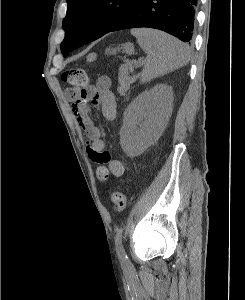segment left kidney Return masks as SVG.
<instances>
[{
  "mask_svg": "<svg viewBox=\"0 0 245 300\" xmlns=\"http://www.w3.org/2000/svg\"><path fill=\"white\" fill-rule=\"evenodd\" d=\"M171 107L172 90L167 85H157L134 99L124 112L122 149L129 156L142 153L161 134Z\"/></svg>",
  "mask_w": 245,
  "mask_h": 300,
  "instance_id": "obj_1",
  "label": "left kidney"
}]
</instances>
